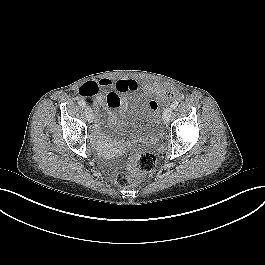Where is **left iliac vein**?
Wrapping results in <instances>:
<instances>
[{
	"label": "left iliac vein",
	"mask_w": 265,
	"mask_h": 265,
	"mask_svg": "<svg viewBox=\"0 0 265 265\" xmlns=\"http://www.w3.org/2000/svg\"><path fill=\"white\" fill-rule=\"evenodd\" d=\"M171 115H172V109L171 108L165 109L163 113V122L167 124L170 121Z\"/></svg>",
	"instance_id": "left-iliac-vein-1"
}]
</instances>
